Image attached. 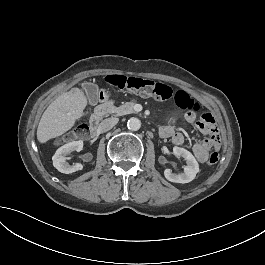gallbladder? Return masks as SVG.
<instances>
[{
    "label": "gallbladder",
    "instance_id": "bac80fb5",
    "mask_svg": "<svg viewBox=\"0 0 265 265\" xmlns=\"http://www.w3.org/2000/svg\"><path fill=\"white\" fill-rule=\"evenodd\" d=\"M82 87L92 102V105H96L98 102V85L82 84Z\"/></svg>",
    "mask_w": 265,
    "mask_h": 265
}]
</instances>
